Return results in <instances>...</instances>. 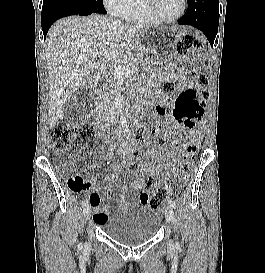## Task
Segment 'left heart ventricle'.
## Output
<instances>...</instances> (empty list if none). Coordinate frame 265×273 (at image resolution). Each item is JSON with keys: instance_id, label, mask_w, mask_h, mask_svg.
<instances>
[{"instance_id": "left-heart-ventricle-1", "label": "left heart ventricle", "mask_w": 265, "mask_h": 273, "mask_svg": "<svg viewBox=\"0 0 265 273\" xmlns=\"http://www.w3.org/2000/svg\"><path fill=\"white\" fill-rule=\"evenodd\" d=\"M182 8V0H155L154 9L163 18H172L178 15Z\"/></svg>"}]
</instances>
